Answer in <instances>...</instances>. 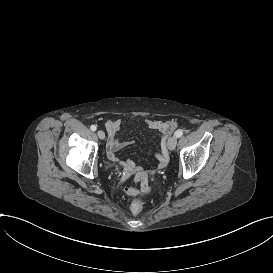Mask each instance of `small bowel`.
<instances>
[{"label": "small bowel", "instance_id": "c3829d8e", "mask_svg": "<svg viewBox=\"0 0 273 273\" xmlns=\"http://www.w3.org/2000/svg\"><path fill=\"white\" fill-rule=\"evenodd\" d=\"M122 121L119 118L115 119H109L105 126L107 130V137H108V142H107V157L111 162H118V152L121 151L126 147V143L120 142L118 138V133L121 128ZM147 126L149 129L154 130L159 132L160 134H166L170 131H172L175 127V124L172 121H161V120H148L147 121ZM167 144L165 142H162L160 144V148L158 149V168L161 170L166 169L167 167ZM123 167H128L131 169V172L129 169H124L121 177L123 180H128L130 177V173H136L140 177V183L139 186L143 191H148L149 190V185L147 183V178L149 177V172L148 171H142V169L135 164L134 161L131 159H127L123 162ZM159 179V178H158ZM159 181V180H158ZM158 184V183H157ZM122 186V185H121ZM156 187V185H155ZM153 189V188H152ZM121 193L124 194L125 197H134L135 196V191L134 190H129L127 187H122L121 188Z\"/></svg>", "mask_w": 273, "mask_h": 273}]
</instances>
